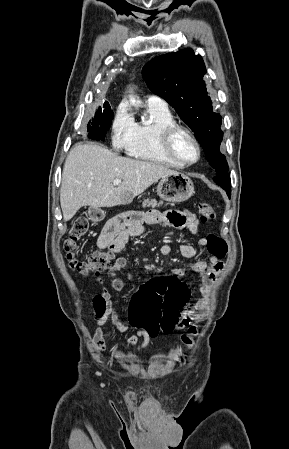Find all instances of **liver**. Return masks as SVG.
<instances>
[{"mask_svg":"<svg viewBox=\"0 0 289 449\" xmlns=\"http://www.w3.org/2000/svg\"><path fill=\"white\" fill-rule=\"evenodd\" d=\"M177 171L149 161L121 157L100 145L74 146L65 161L60 204L65 221L83 206L114 207L130 204L159 179ZM121 183L114 187L113 181Z\"/></svg>","mask_w":289,"mask_h":449,"instance_id":"obj_1","label":"liver"}]
</instances>
